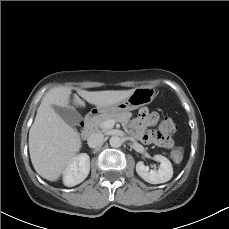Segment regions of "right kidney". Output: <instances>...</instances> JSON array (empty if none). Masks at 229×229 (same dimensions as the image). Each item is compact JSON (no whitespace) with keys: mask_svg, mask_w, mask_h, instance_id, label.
I'll return each instance as SVG.
<instances>
[{"mask_svg":"<svg viewBox=\"0 0 229 229\" xmlns=\"http://www.w3.org/2000/svg\"><path fill=\"white\" fill-rule=\"evenodd\" d=\"M90 171V157L81 153L73 158L63 173V182L67 187H72L83 182Z\"/></svg>","mask_w":229,"mask_h":229,"instance_id":"right-kidney-1","label":"right kidney"}]
</instances>
